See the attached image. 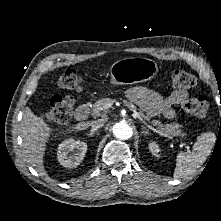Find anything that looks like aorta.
<instances>
[{
    "label": "aorta",
    "instance_id": "aorta-1",
    "mask_svg": "<svg viewBox=\"0 0 221 221\" xmlns=\"http://www.w3.org/2000/svg\"><path fill=\"white\" fill-rule=\"evenodd\" d=\"M113 135L120 140H128L133 135L132 128L125 122L116 123L112 128Z\"/></svg>",
    "mask_w": 221,
    "mask_h": 221
}]
</instances>
